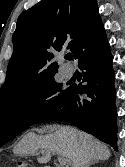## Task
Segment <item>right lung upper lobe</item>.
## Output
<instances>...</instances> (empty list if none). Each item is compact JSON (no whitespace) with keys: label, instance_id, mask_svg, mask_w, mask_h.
Wrapping results in <instances>:
<instances>
[{"label":"right lung upper lobe","instance_id":"obj_1","mask_svg":"<svg viewBox=\"0 0 125 167\" xmlns=\"http://www.w3.org/2000/svg\"><path fill=\"white\" fill-rule=\"evenodd\" d=\"M104 29L96 0H41L18 18L13 54L2 99L25 93L54 77L55 51L69 50L75 59Z\"/></svg>","mask_w":125,"mask_h":167}]
</instances>
